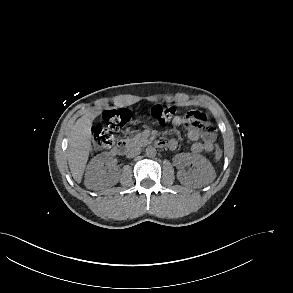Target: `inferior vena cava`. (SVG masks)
I'll use <instances>...</instances> for the list:
<instances>
[{
	"label": "inferior vena cava",
	"instance_id": "inferior-vena-cava-1",
	"mask_svg": "<svg viewBox=\"0 0 293 293\" xmlns=\"http://www.w3.org/2000/svg\"><path fill=\"white\" fill-rule=\"evenodd\" d=\"M140 152H141V150H140V148H138V147L131 148L130 150L127 151L126 156H127L128 158H132V157H134V156L139 155Z\"/></svg>",
	"mask_w": 293,
	"mask_h": 293
}]
</instances>
